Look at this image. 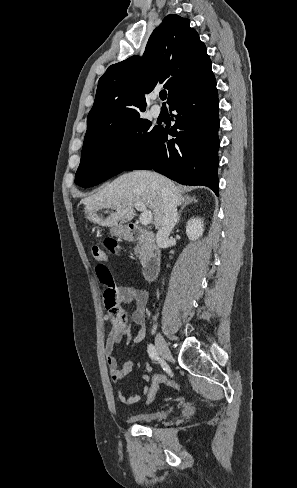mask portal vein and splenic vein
<instances>
[{
  "label": "portal vein and splenic vein",
  "instance_id": "18ae733b",
  "mask_svg": "<svg viewBox=\"0 0 297 488\" xmlns=\"http://www.w3.org/2000/svg\"><path fill=\"white\" fill-rule=\"evenodd\" d=\"M134 207L136 210L142 212L141 215H140V223L144 226H147L148 224H150L152 222V212L150 210H147L146 209V206L141 203V202H137L134 204Z\"/></svg>",
  "mask_w": 297,
  "mask_h": 488
}]
</instances>
